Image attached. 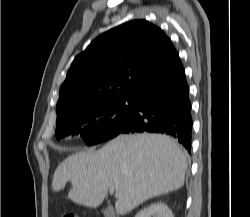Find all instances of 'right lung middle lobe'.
<instances>
[{
	"label": "right lung middle lobe",
	"instance_id": "obj_1",
	"mask_svg": "<svg viewBox=\"0 0 250 217\" xmlns=\"http://www.w3.org/2000/svg\"><path fill=\"white\" fill-rule=\"evenodd\" d=\"M133 108L132 98H127L107 101L81 110L56 123V138L80 135L87 145L109 140L117 136L130 122Z\"/></svg>",
	"mask_w": 250,
	"mask_h": 217
}]
</instances>
